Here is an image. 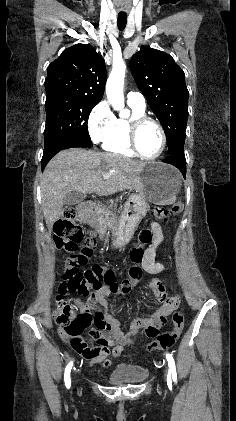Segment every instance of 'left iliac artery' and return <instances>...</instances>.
<instances>
[{"label":"left iliac artery","instance_id":"1","mask_svg":"<svg viewBox=\"0 0 236 421\" xmlns=\"http://www.w3.org/2000/svg\"><path fill=\"white\" fill-rule=\"evenodd\" d=\"M166 358L169 364V374L172 373V377L177 379L176 367L175 362L171 354H166Z\"/></svg>","mask_w":236,"mask_h":421}]
</instances>
